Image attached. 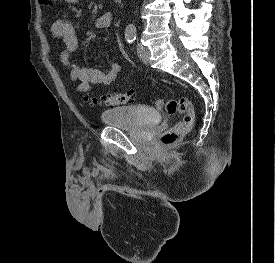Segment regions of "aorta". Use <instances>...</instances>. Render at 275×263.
<instances>
[{"label":"aorta","mask_w":275,"mask_h":263,"mask_svg":"<svg viewBox=\"0 0 275 263\" xmlns=\"http://www.w3.org/2000/svg\"><path fill=\"white\" fill-rule=\"evenodd\" d=\"M129 31H130V33H132L133 32V30H132V26L130 25L129 26ZM133 34V33H132Z\"/></svg>","instance_id":"obj_1"}]
</instances>
